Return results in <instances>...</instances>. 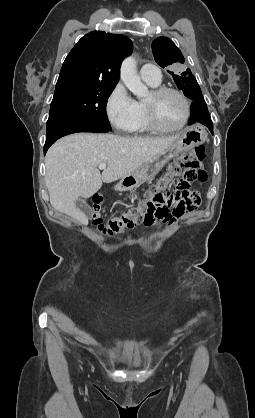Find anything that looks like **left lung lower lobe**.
<instances>
[{"label": "left lung lower lobe", "mask_w": 255, "mask_h": 418, "mask_svg": "<svg viewBox=\"0 0 255 418\" xmlns=\"http://www.w3.org/2000/svg\"><path fill=\"white\" fill-rule=\"evenodd\" d=\"M195 122L207 126L213 134V123L204 99L194 100L191 104L189 125Z\"/></svg>", "instance_id": "0a47b994"}]
</instances>
